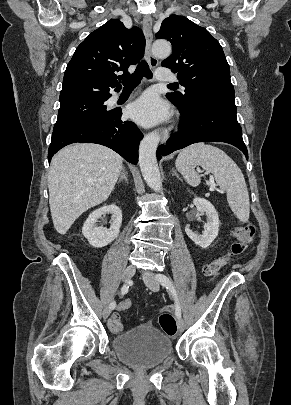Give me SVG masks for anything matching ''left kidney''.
Returning <instances> with one entry per match:
<instances>
[{
    "mask_svg": "<svg viewBox=\"0 0 291 405\" xmlns=\"http://www.w3.org/2000/svg\"><path fill=\"white\" fill-rule=\"evenodd\" d=\"M199 212L205 213L207 223L205 224V232L203 235L194 233L188 226L185 227V232L188 237L202 248H207L218 235L219 217L214 206L206 199L197 197L193 200Z\"/></svg>",
    "mask_w": 291,
    "mask_h": 405,
    "instance_id": "1",
    "label": "left kidney"
}]
</instances>
